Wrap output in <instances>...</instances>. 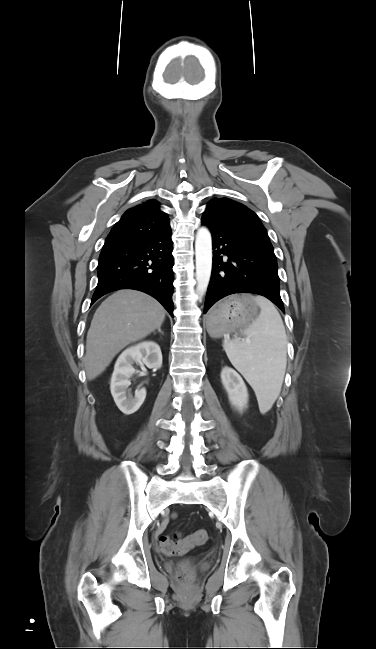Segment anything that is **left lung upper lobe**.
<instances>
[{"mask_svg": "<svg viewBox=\"0 0 376 649\" xmlns=\"http://www.w3.org/2000/svg\"><path fill=\"white\" fill-rule=\"evenodd\" d=\"M203 215L273 248L258 216L241 203L227 198H213Z\"/></svg>", "mask_w": 376, "mask_h": 649, "instance_id": "obj_1", "label": "left lung upper lobe"}]
</instances>
